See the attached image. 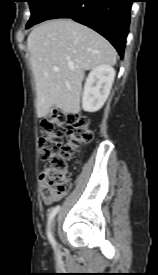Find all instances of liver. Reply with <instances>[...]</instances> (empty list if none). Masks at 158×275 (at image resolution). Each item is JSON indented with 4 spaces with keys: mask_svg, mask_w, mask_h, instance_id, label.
<instances>
[{
    "mask_svg": "<svg viewBox=\"0 0 158 275\" xmlns=\"http://www.w3.org/2000/svg\"><path fill=\"white\" fill-rule=\"evenodd\" d=\"M36 83L37 116L53 107L69 114L80 112L85 71L116 63L114 47L92 29L71 19H53L38 25L27 38ZM59 67L55 72L53 67Z\"/></svg>",
    "mask_w": 158,
    "mask_h": 275,
    "instance_id": "obj_1",
    "label": "liver"
}]
</instances>
